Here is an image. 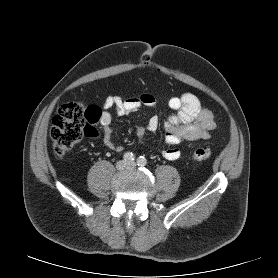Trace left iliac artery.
Returning <instances> with one entry per match:
<instances>
[{"mask_svg":"<svg viewBox=\"0 0 278 278\" xmlns=\"http://www.w3.org/2000/svg\"><path fill=\"white\" fill-rule=\"evenodd\" d=\"M137 163L139 166H145L147 164V160L145 157L143 156H140L138 159H137Z\"/></svg>","mask_w":278,"mask_h":278,"instance_id":"44dca946","label":"left iliac artery"}]
</instances>
